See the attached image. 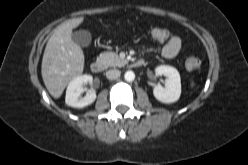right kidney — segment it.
I'll return each mask as SVG.
<instances>
[{"instance_id":"ca27d5eb","label":"right kidney","mask_w":248,"mask_h":165,"mask_svg":"<svg viewBox=\"0 0 248 165\" xmlns=\"http://www.w3.org/2000/svg\"><path fill=\"white\" fill-rule=\"evenodd\" d=\"M92 80L91 75H81L70 81L66 90L65 103L74 108H83L92 104L96 99L94 91L89 90L86 96L80 98L83 93V84L91 83Z\"/></svg>"}]
</instances>
